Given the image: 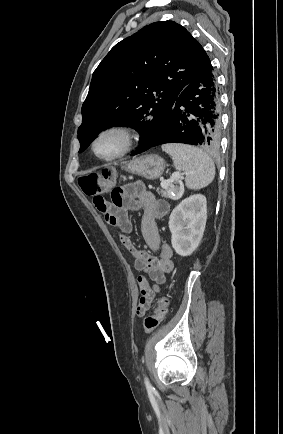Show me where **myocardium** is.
Listing matches in <instances>:
<instances>
[{"label": "myocardium", "instance_id": "obj_1", "mask_svg": "<svg viewBox=\"0 0 283 434\" xmlns=\"http://www.w3.org/2000/svg\"><path fill=\"white\" fill-rule=\"evenodd\" d=\"M115 136L119 142V150L112 155H102L97 151V144L106 136ZM135 143V132L132 127L125 124H112L100 129L91 141V151L102 161H114L128 154Z\"/></svg>", "mask_w": 283, "mask_h": 434}]
</instances>
